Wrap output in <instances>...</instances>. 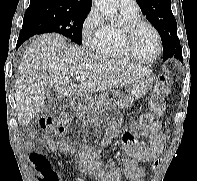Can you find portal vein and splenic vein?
<instances>
[{
	"instance_id": "obj_1",
	"label": "portal vein and splenic vein",
	"mask_w": 197,
	"mask_h": 181,
	"mask_svg": "<svg viewBox=\"0 0 197 181\" xmlns=\"http://www.w3.org/2000/svg\"><path fill=\"white\" fill-rule=\"evenodd\" d=\"M87 79V76L85 75H78L76 76L77 81H85Z\"/></svg>"
}]
</instances>
